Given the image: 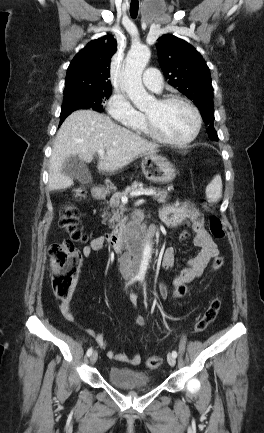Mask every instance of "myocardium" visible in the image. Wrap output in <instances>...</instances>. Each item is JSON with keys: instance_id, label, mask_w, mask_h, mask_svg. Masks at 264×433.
<instances>
[{"instance_id": "obj_1", "label": "myocardium", "mask_w": 264, "mask_h": 433, "mask_svg": "<svg viewBox=\"0 0 264 433\" xmlns=\"http://www.w3.org/2000/svg\"><path fill=\"white\" fill-rule=\"evenodd\" d=\"M157 103L161 106H166L169 104H173V103H180L185 105L186 107H188L195 118V127L192 131V133L185 138L184 140H174L171 139L169 137H167L159 128L158 126L154 123V121L147 115L145 114V121H146V126L148 128V131L150 133V135L152 137H154L155 139H157L158 141L174 146V147H179V148H183L188 146L189 144H191L199 135L201 127H202V116L200 114V111L198 110V108L188 99L180 97V96H167V97H163L157 100Z\"/></svg>"}]
</instances>
